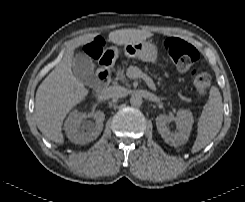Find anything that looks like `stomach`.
Masks as SVG:
<instances>
[{
  "label": "stomach",
  "instance_id": "0dacf381",
  "mask_svg": "<svg viewBox=\"0 0 245 202\" xmlns=\"http://www.w3.org/2000/svg\"><path fill=\"white\" fill-rule=\"evenodd\" d=\"M111 50L117 55L118 51L116 47H112ZM125 55L129 58H139L144 62L156 64L157 63V49L156 46L150 41H138L134 43H128L124 46Z\"/></svg>",
  "mask_w": 245,
  "mask_h": 202
}]
</instances>
